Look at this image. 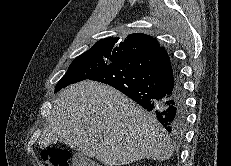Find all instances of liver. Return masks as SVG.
Segmentation results:
<instances>
[{"label":"liver","instance_id":"6515ba94","mask_svg":"<svg viewBox=\"0 0 231 166\" xmlns=\"http://www.w3.org/2000/svg\"><path fill=\"white\" fill-rule=\"evenodd\" d=\"M57 141L106 166L165 161L174 151L155 116L116 89L94 81L70 85L55 100L38 144L43 149Z\"/></svg>","mask_w":231,"mask_h":166}]
</instances>
